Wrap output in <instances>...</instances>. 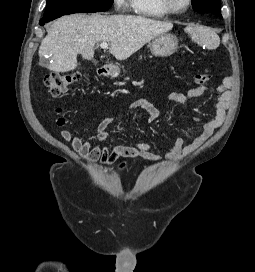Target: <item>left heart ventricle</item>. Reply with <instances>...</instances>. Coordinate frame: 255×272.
<instances>
[{
    "label": "left heart ventricle",
    "mask_w": 255,
    "mask_h": 272,
    "mask_svg": "<svg viewBox=\"0 0 255 272\" xmlns=\"http://www.w3.org/2000/svg\"><path fill=\"white\" fill-rule=\"evenodd\" d=\"M172 4L177 7V8H181L186 4V0H171Z\"/></svg>",
    "instance_id": "obj_1"
}]
</instances>
